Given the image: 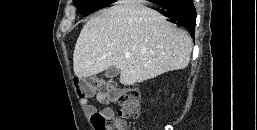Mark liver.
I'll return each mask as SVG.
<instances>
[{"mask_svg": "<svg viewBox=\"0 0 257 130\" xmlns=\"http://www.w3.org/2000/svg\"><path fill=\"white\" fill-rule=\"evenodd\" d=\"M191 51L190 35L159 12L139 2H119L83 26L73 53L74 74L86 78L115 66L120 83L132 85L186 68Z\"/></svg>", "mask_w": 257, "mask_h": 130, "instance_id": "6515ba94", "label": "liver"}]
</instances>
